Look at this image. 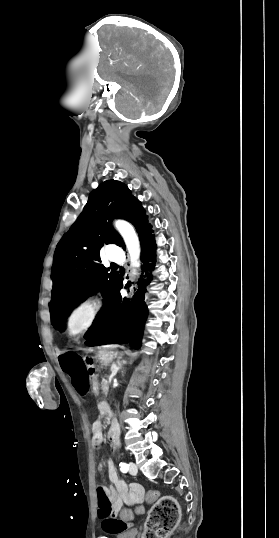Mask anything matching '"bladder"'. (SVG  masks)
I'll return each mask as SVG.
<instances>
[{
  "mask_svg": "<svg viewBox=\"0 0 279 538\" xmlns=\"http://www.w3.org/2000/svg\"><path fill=\"white\" fill-rule=\"evenodd\" d=\"M115 538H138L137 532H116Z\"/></svg>",
  "mask_w": 279,
  "mask_h": 538,
  "instance_id": "bladder-1",
  "label": "bladder"
}]
</instances>
